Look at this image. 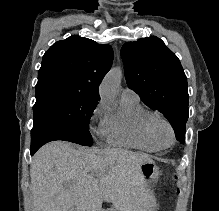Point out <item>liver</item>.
<instances>
[{"label": "liver", "mask_w": 219, "mask_h": 211, "mask_svg": "<svg viewBox=\"0 0 219 211\" xmlns=\"http://www.w3.org/2000/svg\"><path fill=\"white\" fill-rule=\"evenodd\" d=\"M147 153L128 149H75L67 141H50L30 165L33 211H148L151 195L140 183Z\"/></svg>", "instance_id": "6515ba94"}]
</instances>
